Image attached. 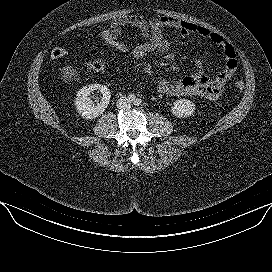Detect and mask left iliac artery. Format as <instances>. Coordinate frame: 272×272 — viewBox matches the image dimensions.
Listing matches in <instances>:
<instances>
[{
	"label": "left iliac artery",
	"instance_id": "44dca946",
	"mask_svg": "<svg viewBox=\"0 0 272 272\" xmlns=\"http://www.w3.org/2000/svg\"><path fill=\"white\" fill-rule=\"evenodd\" d=\"M141 103H142V101H141V99H139V98L135 99V101H134V104H135L136 106H140Z\"/></svg>",
	"mask_w": 272,
	"mask_h": 272
}]
</instances>
